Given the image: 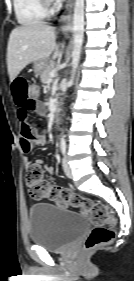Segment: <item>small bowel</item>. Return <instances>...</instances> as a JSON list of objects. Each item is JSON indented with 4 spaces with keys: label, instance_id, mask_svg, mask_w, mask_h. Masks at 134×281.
<instances>
[{
    "label": "small bowel",
    "instance_id": "1",
    "mask_svg": "<svg viewBox=\"0 0 134 281\" xmlns=\"http://www.w3.org/2000/svg\"><path fill=\"white\" fill-rule=\"evenodd\" d=\"M29 81L23 76H16L11 82V92L18 106V118L21 122V148L24 154L28 155L35 146H42L46 143L47 137L44 132H39L34 125L29 122V114L35 112L44 115L46 108L38 100H31L28 95ZM37 165L42 166L41 158L34 162L27 161V167ZM44 170L53 175L55 170L52 166L45 165Z\"/></svg>",
    "mask_w": 134,
    "mask_h": 281
}]
</instances>
